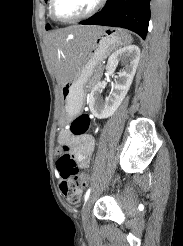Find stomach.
<instances>
[{"instance_id": "0dacf381", "label": "stomach", "mask_w": 183, "mask_h": 246, "mask_svg": "<svg viewBox=\"0 0 183 246\" xmlns=\"http://www.w3.org/2000/svg\"><path fill=\"white\" fill-rule=\"evenodd\" d=\"M124 39L122 30L102 28L93 41L85 45L82 52V61L76 66L75 74L61 88L63 116L60 122L62 125L81 111L85 97V85L92 75L95 65L113 49L121 45Z\"/></svg>"}]
</instances>
